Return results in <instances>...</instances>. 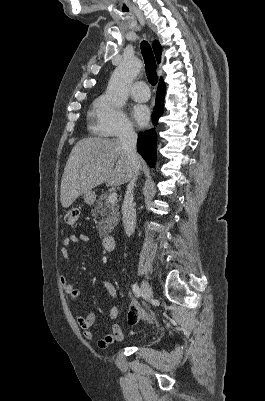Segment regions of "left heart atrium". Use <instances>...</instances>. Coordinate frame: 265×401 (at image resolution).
<instances>
[{"label":"left heart atrium","mask_w":265,"mask_h":401,"mask_svg":"<svg viewBox=\"0 0 265 401\" xmlns=\"http://www.w3.org/2000/svg\"><path fill=\"white\" fill-rule=\"evenodd\" d=\"M131 113L134 120L140 126L145 125L149 119V109L146 105L135 103L131 107Z\"/></svg>","instance_id":"39dd6f15"}]
</instances>
